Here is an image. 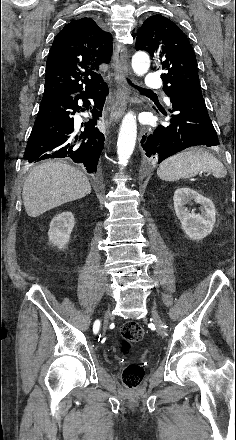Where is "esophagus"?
I'll return each instance as SVG.
<instances>
[{"label":"esophagus","mask_w":236,"mask_h":440,"mask_svg":"<svg viewBox=\"0 0 236 440\" xmlns=\"http://www.w3.org/2000/svg\"><path fill=\"white\" fill-rule=\"evenodd\" d=\"M116 82V100L111 110V121H118L125 112L130 97V88L126 83L124 75H128L126 46L118 42L113 55Z\"/></svg>","instance_id":"obj_1"}]
</instances>
